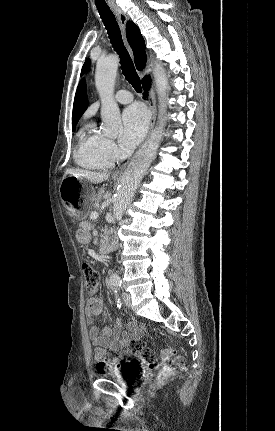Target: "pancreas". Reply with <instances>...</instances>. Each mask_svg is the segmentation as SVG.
<instances>
[{
	"instance_id": "pancreas-1",
	"label": "pancreas",
	"mask_w": 275,
	"mask_h": 431,
	"mask_svg": "<svg viewBox=\"0 0 275 431\" xmlns=\"http://www.w3.org/2000/svg\"><path fill=\"white\" fill-rule=\"evenodd\" d=\"M103 193H104L103 189H100L98 191L97 197L94 200V207H96L99 204V202L101 201Z\"/></svg>"
}]
</instances>
